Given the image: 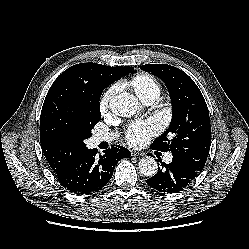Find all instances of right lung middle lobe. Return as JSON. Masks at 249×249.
I'll return each mask as SVG.
<instances>
[{
    "mask_svg": "<svg viewBox=\"0 0 249 249\" xmlns=\"http://www.w3.org/2000/svg\"><path fill=\"white\" fill-rule=\"evenodd\" d=\"M103 67L109 83L133 70L127 66ZM104 89V86L87 88L66 78L56 79L44 100L40 129L50 136L67 139L84 151L87 148L84 141L101 119L99 99Z\"/></svg>",
    "mask_w": 249,
    "mask_h": 249,
    "instance_id": "dd1d6c3e",
    "label": "right lung middle lobe"
}]
</instances>
